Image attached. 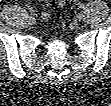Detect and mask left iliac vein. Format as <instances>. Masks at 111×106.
<instances>
[{
    "mask_svg": "<svg viewBox=\"0 0 111 106\" xmlns=\"http://www.w3.org/2000/svg\"><path fill=\"white\" fill-rule=\"evenodd\" d=\"M84 15L82 13H78L76 15V20L81 21L83 19Z\"/></svg>",
    "mask_w": 111,
    "mask_h": 106,
    "instance_id": "obj_1",
    "label": "left iliac vein"
}]
</instances>
